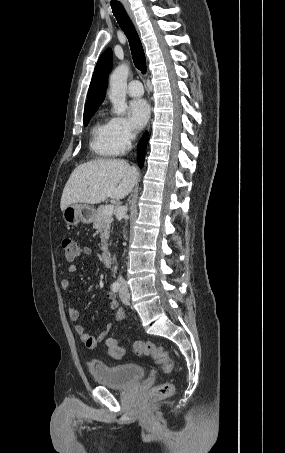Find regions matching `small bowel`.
I'll list each match as a JSON object with an SVG mask.
<instances>
[{
	"mask_svg": "<svg viewBox=\"0 0 285 453\" xmlns=\"http://www.w3.org/2000/svg\"><path fill=\"white\" fill-rule=\"evenodd\" d=\"M83 255H91L92 249L88 246H85L81 250ZM77 270V267L75 264H70L68 266V272L69 275L72 276ZM70 279L65 278L61 281V288L62 290L68 292L70 290ZM108 300H109V308L112 310H116L114 319L115 321H123L126 317L124 310L118 308V302L116 300L115 295L112 292H109L108 295ZM68 316L71 321L77 322L79 320V311L76 308L69 307L68 309ZM75 332L77 335L80 337V340L84 343V345L89 348V349H94L98 345L99 342H101L103 339L106 338V336L109 334L110 329H111V324H108L97 336H92L85 332L84 327L81 324H76L75 327Z\"/></svg>",
	"mask_w": 285,
	"mask_h": 453,
	"instance_id": "c3829d8e",
	"label": "small bowel"
}]
</instances>
